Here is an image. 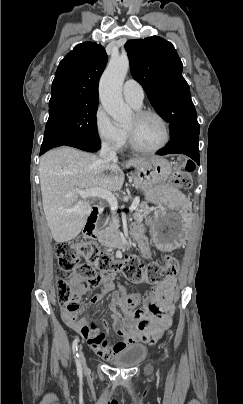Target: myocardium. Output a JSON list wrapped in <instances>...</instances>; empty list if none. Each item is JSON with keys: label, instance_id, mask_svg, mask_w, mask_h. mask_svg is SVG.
Here are the masks:
<instances>
[{"label": "myocardium", "instance_id": "f54148a6", "mask_svg": "<svg viewBox=\"0 0 243 404\" xmlns=\"http://www.w3.org/2000/svg\"><path fill=\"white\" fill-rule=\"evenodd\" d=\"M134 114L137 117L146 116V115H154V116L158 117L164 125L166 136H165V140L160 145H158L156 147H151V148L144 147L135 140V138L133 137V135L131 134V132L129 130L125 129V132H126V135L128 137L131 147L133 149H135L136 151L144 152V153H155V152H159V151L163 150L164 148H166L168 146V144L170 143L171 137H172L171 126H170V123L168 122V120L166 119V117L161 112H159L155 109H151V108L138 109Z\"/></svg>", "mask_w": 243, "mask_h": 404}]
</instances>
